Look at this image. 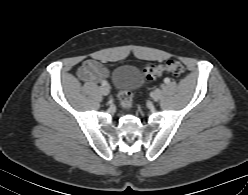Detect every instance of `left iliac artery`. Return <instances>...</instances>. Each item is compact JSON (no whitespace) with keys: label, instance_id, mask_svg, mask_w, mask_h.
<instances>
[{"label":"left iliac artery","instance_id":"obj_1","mask_svg":"<svg viewBox=\"0 0 248 195\" xmlns=\"http://www.w3.org/2000/svg\"><path fill=\"white\" fill-rule=\"evenodd\" d=\"M164 82H165L166 84H168V83L170 82V79L166 78V79L164 80Z\"/></svg>","mask_w":248,"mask_h":195}]
</instances>
